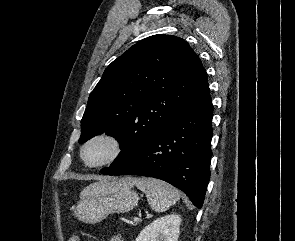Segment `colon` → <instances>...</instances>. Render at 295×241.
<instances>
[{
	"instance_id": "colon-1",
	"label": "colon",
	"mask_w": 295,
	"mask_h": 241,
	"mask_svg": "<svg viewBox=\"0 0 295 241\" xmlns=\"http://www.w3.org/2000/svg\"><path fill=\"white\" fill-rule=\"evenodd\" d=\"M70 241H80V239L78 237H72Z\"/></svg>"
}]
</instances>
